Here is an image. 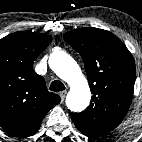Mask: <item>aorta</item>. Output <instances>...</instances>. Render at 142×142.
Returning <instances> with one entry per match:
<instances>
[{
	"instance_id": "1",
	"label": "aorta",
	"mask_w": 142,
	"mask_h": 142,
	"mask_svg": "<svg viewBox=\"0 0 142 142\" xmlns=\"http://www.w3.org/2000/svg\"><path fill=\"white\" fill-rule=\"evenodd\" d=\"M49 66L70 86L66 97L68 109L73 112L86 109L90 103L91 91L77 62L65 51L56 49L49 57Z\"/></svg>"
}]
</instances>
